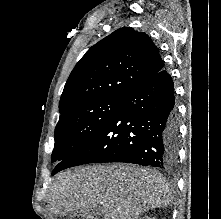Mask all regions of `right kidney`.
<instances>
[{
	"label": "right kidney",
	"mask_w": 221,
	"mask_h": 219,
	"mask_svg": "<svg viewBox=\"0 0 221 219\" xmlns=\"http://www.w3.org/2000/svg\"><path fill=\"white\" fill-rule=\"evenodd\" d=\"M146 219H155V218L146 217Z\"/></svg>",
	"instance_id": "ca27d5eb"
}]
</instances>
